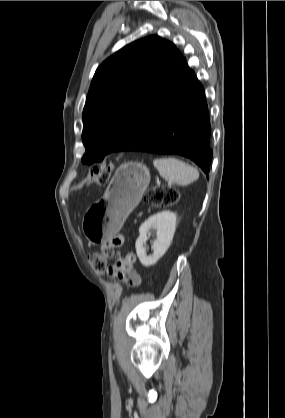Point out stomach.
I'll return each instance as SVG.
<instances>
[{
	"label": "stomach",
	"mask_w": 285,
	"mask_h": 418,
	"mask_svg": "<svg viewBox=\"0 0 285 418\" xmlns=\"http://www.w3.org/2000/svg\"><path fill=\"white\" fill-rule=\"evenodd\" d=\"M149 183L150 172L144 164L126 162L119 166L103 198L83 218L87 239L100 243L113 237L139 204Z\"/></svg>",
	"instance_id": "0dacf381"
}]
</instances>
